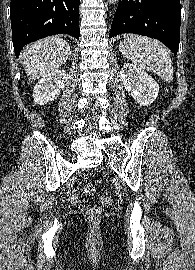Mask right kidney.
I'll return each instance as SVG.
<instances>
[{
    "label": "right kidney",
    "mask_w": 195,
    "mask_h": 270,
    "mask_svg": "<svg viewBox=\"0 0 195 270\" xmlns=\"http://www.w3.org/2000/svg\"><path fill=\"white\" fill-rule=\"evenodd\" d=\"M67 76L66 71L55 70L40 79L33 90L34 102L44 105L54 101L64 89Z\"/></svg>",
    "instance_id": "right-kidney-1"
}]
</instances>
